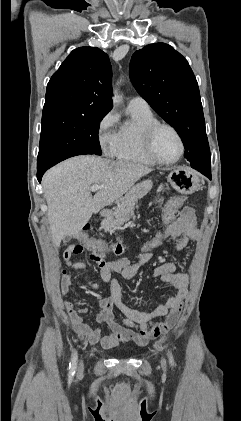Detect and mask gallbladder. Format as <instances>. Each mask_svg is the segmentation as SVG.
I'll return each instance as SVG.
<instances>
[{"label":"gallbladder","mask_w":241,"mask_h":421,"mask_svg":"<svg viewBox=\"0 0 241 421\" xmlns=\"http://www.w3.org/2000/svg\"><path fill=\"white\" fill-rule=\"evenodd\" d=\"M69 240H70V238H69V236H68V235H66V236L63 238V242H64V243L69 242Z\"/></svg>","instance_id":"gallbladder-1"}]
</instances>
